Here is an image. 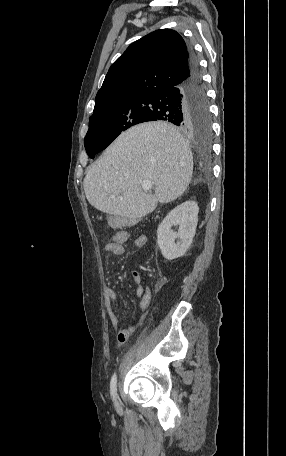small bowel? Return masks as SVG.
<instances>
[{"mask_svg":"<svg viewBox=\"0 0 286 456\" xmlns=\"http://www.w3.org/2000/svg\"><path fill=\"white\" fill-rule=\"evenodd\" d=\"M129 239V233L126 231H117L113 238L108 241L105 244L104 250L106 253L114 255V256H123L125 253L124 250V244L128 241ZM147 244V237L146 235H139L135 239V247L137 248H144ZM131 279L133 283L135 284V294L140 298L139 302V314L137 316V319L134 324L128 326L127 328L121 329L117 332V341L119 343H124L132 333V331L135 329L136 325L141 323L147 313L148 309L150 306V303L152 301V292L143 283L142 276L139 272L134 271L131 273ZM105 296L107 299V304H106V312L109 318V321L112 325V327L117 330L118 325H119V318L112 309L111 304L114 303L117 299V294L114 289L108 287L105 289Z\"/></svg>","mask_w":286,"mask_h":456,"instance_id":"small-bowel-1","label":"small bowel"}]
</instances>
